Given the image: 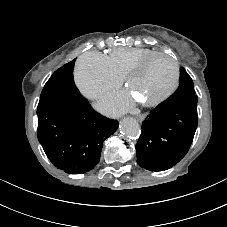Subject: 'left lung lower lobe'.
<instances>
[{
	"label": "left lung lower lobe",
	"instance_id": "0a47b994",
	"mask_svg": "<svg viewBox=\"0 0 227 227\" xmlns=\"http://www.w3.org/2000/svg\"><path fill=\"white\" fill-rule=\"evenodd\" d=\"M197 124V96L172 95L143 121L136 144L137 163L150 171L173 167L188 152Z\"/></svg>",
	"mask_w": 227,
	"mask_h": 227
}]
</instances>
